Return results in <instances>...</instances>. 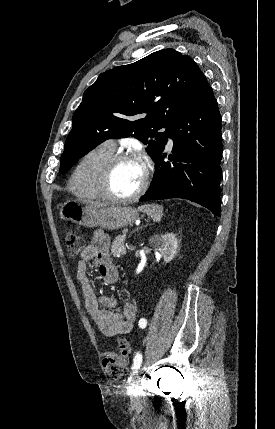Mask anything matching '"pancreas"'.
<instances>
[{"mask_svg":"<svg viewBox=\"0 0 275 429\" xmlns=\"http://www.w3.org/2000/svg\"><path fill=\"white\" fill-rule=\"evenodd\" d=\"M111 254L113 256H123L126 254V247L124 245V237L118 236L111 246Z\"/></svg>","mask_w":275,"mask_h":429,"instance_id":"cf45deb5","label":"pancreas"}]
</instances>
